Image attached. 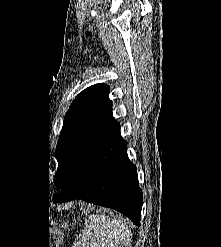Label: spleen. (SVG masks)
Returning a JSON list of instances; mask_svg holds the SVG:
<instances>
[{
	"label": "spleen",
	"instance_id": "3e777b00",
	"mask_svg": "<svg viewBox=\"0 0 221 247\" xmlns=\"http://www.w3.org/2000/svg\"><path fill=\"white\" fill-rule=\"evenodd\" d=\"M132 233L126 219L91 215L79 247H131Z\"/></svg>",
	"mask_w": 221,
	"mask_h": 247
}]
</instances>
